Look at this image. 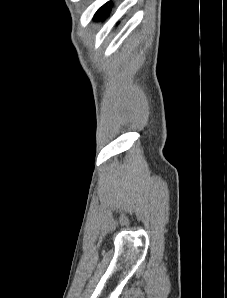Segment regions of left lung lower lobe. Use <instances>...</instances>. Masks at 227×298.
I'll return each instance as SVG.
<instances>
[{
	"instance_id": "left-lung-lower-lobe-1",
	"label": "left lung lower lobe",
	"mask_w": 227,
	"mask_h": 298,
	"mask_svg": "<svg viewBox=\"0 0 227 298\" xmlns=\"http://www.w3.org/2000/svg\"><path fill=\"white\" fill-rule=\"evenodd\" d=\"M109 11H110V8H107V6H106V9H105L104 14L102 16H106L109 13Z\"/></svg>"
}]
</instances>
